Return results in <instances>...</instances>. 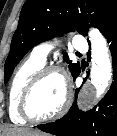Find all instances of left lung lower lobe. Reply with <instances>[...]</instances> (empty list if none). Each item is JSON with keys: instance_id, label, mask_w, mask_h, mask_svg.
Segmentation results:
<instances>
[{"instance_id": "obj_1", "label": "left lung lower lobe", "mask_w": 117, "mask_h": 136, "mask_svg": "<svg viewBox=\"0 0 117 136\" xmlns=\"http://www.w3.org/2000/svg\"><path fill=\"white\" fill-rule=\"evenodd\" d=\"M113 59V82L110 90L93 109L83 112L76 100L69 112L54 123L38 125L37 128L56 136H117V17L103 32ZM90 57V53H89ZM80 72L74 77L79 76ZM78 90H76L77 95Z\"/></svg>"}]
</instances>
